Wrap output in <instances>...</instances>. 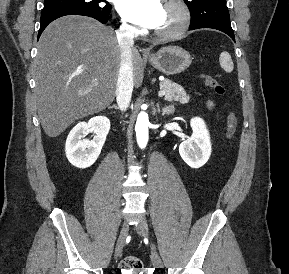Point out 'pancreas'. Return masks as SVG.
Here are the masks:
<instances>
[{"label": "pancreas", "mask_w": 289, "mask_h": 274, "mask_svg": "<svg viewBox=\"0 0 289 274\" xmlns=\"http://www.w3.org/2000/svg\"><path fill=\"white\" fill-rule=\"evenodd\" d=\"M160 90L165 92V100L167 101H179L182 104L189 102L190 97L183 87L169 79L160 82Z\"/></svg>", "instance_id": "pancreas-1"}]
</instances>
